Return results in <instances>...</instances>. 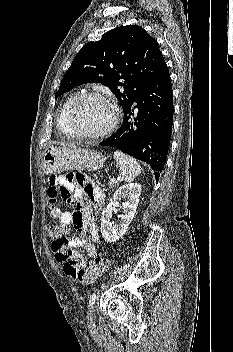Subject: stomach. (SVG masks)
I'll list each match as a JSON object with an SVG mask.
<instances>
[{
  "label": "stomach",
  "mask_w": 233,
  "mask_h": 352,
  "mask_svg": "<svg viewBox=\"0 0 233 352\" xmlns=\"http://www.w3.org/2000/svg\"><path fill=\"white\" fill-rule=\"evenodd\" d=\"M105 161L104 155L90 149L48 147L43 152V171L54 174L71 169L97 170L104 167Z\"/></svg>",
  "instance_id": "0dacf381"
}]
</instances>
